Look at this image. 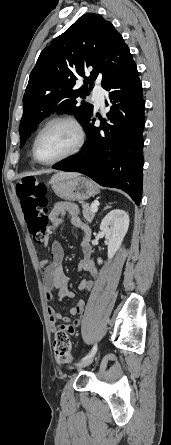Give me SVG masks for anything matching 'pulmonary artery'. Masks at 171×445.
Here are the masks:
<instances>
[{"label":"pulmonary artery","instance_id":"e3ab8cb5","mask_svg":"<svg viewBox=\"0 0 171 445\" xmlns=\"http://www.w3.org/2000/svg\"><path fill=\"white\" fill-rule=\"evenodd\" d=\"M93 100L95 104L99 107L104 106V92L100 88H95L93 91Z\"/></svg>","mask_w":171,"mask_h":445}]
</instances>
